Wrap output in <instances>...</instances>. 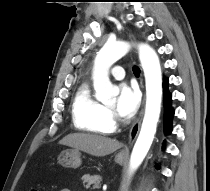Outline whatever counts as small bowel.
<instances>
[{"label": "small bowel", "instance_id": "obj_1", "mask_svg": "<svg viewBox=\"0 0 210 191\" xmlns=\"http://www.w3.org/2000/svg\"><path fill=\"white\" fill-rule=\"evenodd\" d=\"M60 191H71V190H69V189H62V190H60Z\"/></svg>", "mask_w": 210, "mask_h": 191}]
</instances>
